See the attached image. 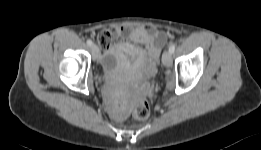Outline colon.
Segmentation results:
<instances>
[{"mask_svg":"<svg viewBox=\"0 0 261 150\" xmlns=\"http://www.w3.org/2000/svg\"><path fill=\"white\" fill-rule=\"evenodd\" d=\"M133 116L136 119H146L150 115V106L147 101H139L133 108Z\"/></svg>","mask_w":261,"mask_h":150,"instance_id":"colon-1","label":"colon"}]
</instances>
